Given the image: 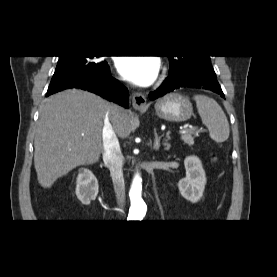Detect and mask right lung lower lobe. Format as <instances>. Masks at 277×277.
I'll use <instances>...</instances> for the list:
<instances>
[{
  "label": "right lung lower lobe",
  "mask_w": 277,
  "mask_h": 277,
  "mask_svg": "<svg viewBox=\"0 0 277 277\" xmlns=\"http://www.w3.org/2000/svg\"><path fill=\"white\" fill-rule=\"evenodd\" d=\"M69 88H81L83 90L93 92L110 101L116 102L125 108H128V90L110 75L109 66L98 79L77 81L58 89L48 90L47 96Z\"/></svg>",
  "instance_id": "98d812e1"
}]
</instances>
